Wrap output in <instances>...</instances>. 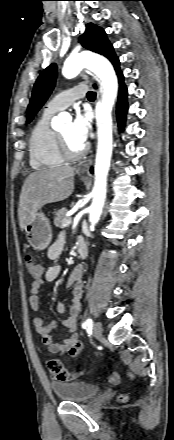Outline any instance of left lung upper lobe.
<instances>
[{
    "mask_svg": "<svg viewBox=\"0 0 174 440\" xmlns=\"http://www.w3.org/2000/svg\"><path fill=\"white\" fill-rule=\"evenodd\" d=\"M82 46L93 52L104 55L109 60L115 56L112 45L106 37L105 31L92 23L86 25L84 34L80 37ZM57 77V66L55 63L49 65L42 71L33 88L32 97L27 108V123H30L34 115L45 103L51 94Z\"/></svg>",
    "mask_w": 174,
    "mask_h": 440,
    "instance_id": "5c2ea615",
    "label": "left lung upper lobe"
}]
</instances>
